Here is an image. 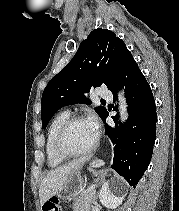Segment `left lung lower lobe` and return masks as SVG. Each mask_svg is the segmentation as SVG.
I'll list each match as a JSON object with an SVG mask.
<instances>
[{"label":"left lung lower lobe","mask_w":179,"mask_h":211,"mask_svg":"<svg viewBox=\"0 0 179 211\" xmlns=\"http://www.w3.org/2000/svg\"><path fill=\"white\" fill-rule=\"evenodd\" d=\"M117 87L125 89L129 117L124 125L118 123V117H113L115 127L106 124L105 134L114 144L111 167L135 188L152 157L157 114L150 85L131 54L110 89L115 96ZM107 116L108 112L101 118L103 122Z\"/></svg>","instance_id":"left-lung-lower-lobe-1"}]
</instances>
